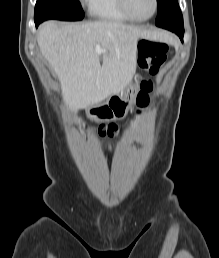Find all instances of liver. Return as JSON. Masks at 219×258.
Instances as JSON below:
<instances>
[{
	"label": "liver",
	"instance_id": "6515ba94",
	"mask_svg": "<svg viewBox=\"0 0 219 258\" xmlns=\"http://www.w3.org/2000/svg\"><path fill=\"white\" fill-rule=\"evenodd\" d=\"M139 38L172 40L164 32L117 22L59 26L48 21L40 26L37 42L61 83L64 100L76 110L98 104L127 88L136 71ZM96 45L103 50L101 54L96 52Z\"/></svg>",
	"mask_w": 219,
	"mask_h": 258
}]
</instances>
